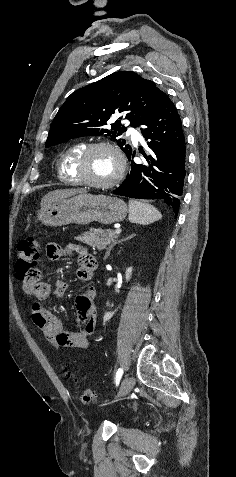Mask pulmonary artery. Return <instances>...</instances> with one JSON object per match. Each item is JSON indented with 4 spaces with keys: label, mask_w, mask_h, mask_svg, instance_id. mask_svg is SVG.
I'll return each mask as SVG.
<instances>
[{
    "label": "pulmonary artery",
    "mask_w": 236,
    "mask_h": 477,
    "mask_svg": "<svg viewBox=\"0 0 236 477\" xmlns=\"http://www.w3.org/2000/svg\"><path fill=\"white\" fill-rule=\"evenodd\" d=\"M132 139H133L135 142H138V141L141 140V137H140L139 135L134 134V135H132Z\"/></svg>",
    "instance_id": "obj_1"
}]
</instances>
